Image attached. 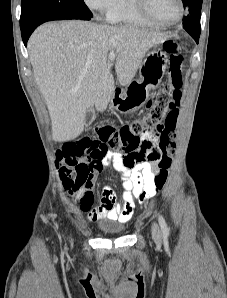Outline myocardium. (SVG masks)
<instances>
[{
  "mask_svg": "<svg viewBox=\"0 0 227 298\" xmlns=\"http://www.w3.org/2000/svg\"><path fill=\"white\" fill-rule=\"evenodd\" d=\"M177 2L179 5V15L175 20H173L171 22H163V21H160L159 19H157L156 17H154L150 10V1L149 0H135V5H136L138 12L146 20L150 21L151 23H153L156 26L170 27V26H174L177 23H179L184 16L185 7H184L183 0H177Z\"/></svg>",
  "mask_w": 227,
  "mask_h": 298,
  "instance_id": "f54148a6",
  "label": "myocardium"
}]
</instances>
